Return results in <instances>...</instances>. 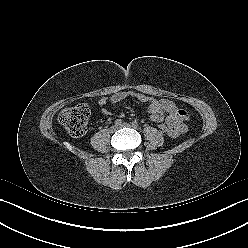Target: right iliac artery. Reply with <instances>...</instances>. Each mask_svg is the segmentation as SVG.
Here are the masks:
<instances>
[{"instance_id":"1","label":"right iliac artery","mask_w":248,"mask_h":248,"mask_svg":"<svg viewBox=\"0 0 248 248\" xmlns=\"http://www.w3.org/2000/svg\"><path fill=\"white\" fill-rule=\"evenodd\" d=\"M121 123H122V120L121 119H116L115 120V125H121Z\"/></svg>"}]
</instances>
